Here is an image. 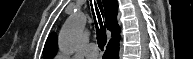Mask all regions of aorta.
<instances>
[{"label":"aorta","mask_w":193,"mask_h":59,"mask_svg":"<svg viewBox=\"0 0 193 59\" xmlns=\"http://www.w3.org/2000/svg\"><path fill=\"white\" fill-rule=\"evenodd\" d=\"M85 23L86 17L81 12H78L67 19L59 35V48L62 52L67 55L74 52L77 40Z\"/></svg>","instance_id":"aorta-1"}]
</instances>
